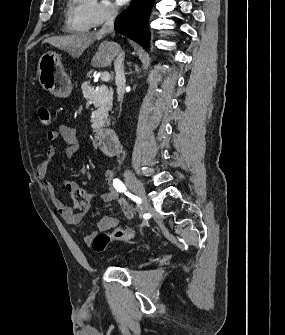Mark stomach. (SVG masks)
<instances>
[{
	"label": "stomach",
	"instance_id": "stomach-1",
	"mask_svg": "<svg viewBox=\"0 0 285 335\" xmlns=\"http://www.w3.org/2000/svg\"><path fill=\"white\" fill-rule=\"evenodd\" d=\"M37 76L40 86L55 98L69 96L72 86L69 76L61 64V56L56 52H46L39 58Z\"/></svg>",
	"mask_w": 285,
	"mask_h": 335
}]
</instances>
